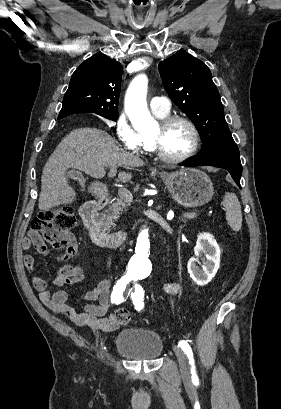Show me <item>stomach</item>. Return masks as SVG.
<instances>
[{"label": "stomach", "mask_w": 281, "mask_h": 409, "mask_svg": "<svg viewBox=\"0 0 281 409\" xmlns=\"http://www.w3.org/2000/svg\"><path fill=\"white\" fill-rule=\"evenodd\" d=\"M163 180L173 198L183 207H201L211 200L214 186L206 172L198 168H180L176 172H163ZM103 182H91L88 186L93 196L103 190Z\"/></svg>", "instance_id": "obj_1"}]
</instances>
